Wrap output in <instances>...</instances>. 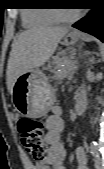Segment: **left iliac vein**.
Instances as JSON below:
<instances>
[{
    "label": "left iliac vein",
    "instance_id": "obj_1",
    "mask_svg": "<svg viewBox=\"0 0 104 169\" xmlns=\"http://www.w3.org/2000/svg\"><path fill=\"white\" fill-rule=\"evenodd\" d=\"M94 165L96 169H103L102 159L100 157H96Z\"/></svg>",
    "mask_w": 104,
    "mask_h": 169
}]
</instances>
